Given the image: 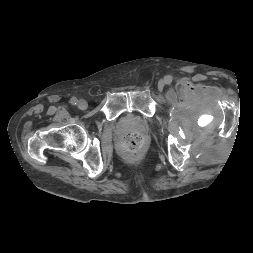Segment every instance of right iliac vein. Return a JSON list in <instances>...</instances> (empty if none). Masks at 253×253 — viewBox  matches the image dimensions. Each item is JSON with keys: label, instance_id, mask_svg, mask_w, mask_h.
<instances>
[{"label": "right iliac vein", "instance_id": "63e3f726", "mask_svg": "<svg viewBox=\"0 0 253 253\" xmlns=\"http://www.w3.org/2000/svg\"><path fill=\"white\" fill-rule=\"evenodd\" d=\"M78 107H79V109H81V110H85V109H87V107H88V103H87L84 99H81V100H79V102H78Z\"/></svg>", "mask_w": 253, "mask_h": 253}]
</instances>
